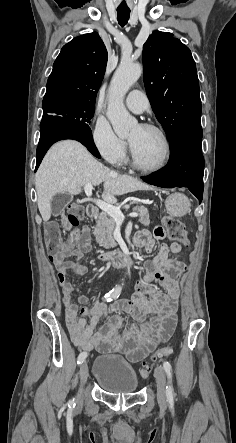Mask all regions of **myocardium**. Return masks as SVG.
<instances>
[{"mask_svg": "<svg viewBox=\"0 0 236 443\" xmlns=\"http://www.w3.org/2000/svg\"><path fill=\"white\" fill-rule=\"evenodd\" d=\"M140 126L142 128H145V129H148V130H152V131L158 133L161 136V138H162V140L164 142V145H165V156H164L162 162L159 165L155 166V167L144 166V165H142L139 162V160H138V158H137V156H136V154H135V152L133 150V147H132L131 143L129 142L132 165H133V167L136 170H138L140 172H143V173H146V174L157 173V172L163 170L169 164V161H170L171 156H172L171 141H170L167 133L164 131V129H162L158 125H155V124H152V123H142Z\"/></svg>", "mask_w": 236, "mask_h": 443, "instance_id": "f54148a6", "label": "myocardium"}]
</instances>
